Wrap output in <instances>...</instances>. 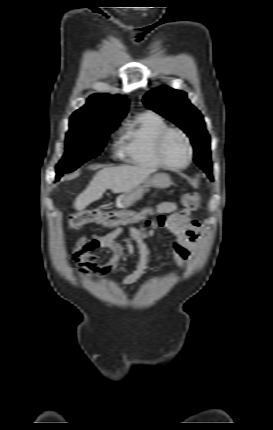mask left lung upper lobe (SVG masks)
<instances>
[{
  "label": "left lung upper lobe",
  "mask_w": 273,
  "mask_h": 430,
  "mask_svg": "<svg viewBox=\"0 0 273 430\" xmlns=\"http://www.w3.org/2000/svg\"><path fill=\"white\" fill-rule=\"evenodd\" d=\"M143 103L179 126L191 139L194 161L199 167L211 165L210 138L201 113L187 99V94L167 86L147 93Z\"/></svg>",
  "instance_id": "1"
}]
</instances>
